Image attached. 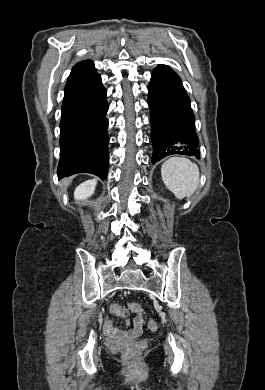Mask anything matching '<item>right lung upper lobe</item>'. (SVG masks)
Listing matches in <instances>:
<instances>
[{
	"label": "right lung upper lobe",
	"instance_id": "right-lung-upper-lobe-1",
	"mask_svg": "<svg viewBox=\"0 0 265 390\" xmlns=\"http://www.w3.org/2000/svg\"><path fill=\"white\" fill-rule=\"evenodd\" d=\"M90 62H91L90 60H85V61L79 62V63H77V64L73 67V69H76V68H78V67H80V66L86 65V64H88V63H90ZM73 69H72V70H73Z\"/></svg>",
	"mask_w": 265,
	"mask_h": 390
}]
</instances>
